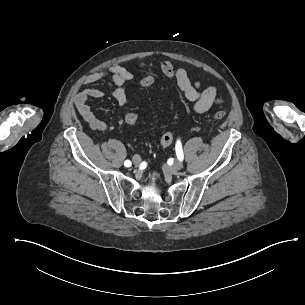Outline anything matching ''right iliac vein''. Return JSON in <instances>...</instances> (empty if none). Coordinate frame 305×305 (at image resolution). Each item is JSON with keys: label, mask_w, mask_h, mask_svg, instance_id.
<instances>
[{"label": "right iliac vein", "mask_w": 305, "mask_h": 305, "mask_svg": "<svg viewBox=\"0 0 305 305\" xmlns=\"http://www.w3.org/2000/svg\"><path fill=\"white\" fill-rule=\"evenodd\" d=\"M132 161L134 163V165L138 166L141 163V157L138 155L133 156Z\"/></svg>", "instance_id": "1"}]
</instances>
